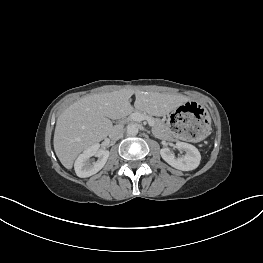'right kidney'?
<instances>
[{
  "mask_svg": "<svg viewBox=\"0 0 263 263\" xmlns=\"http://www.w3.org/2000/svg\"><path fill=\"white\" fill-rule=\"evenodd\" d=\"M97 157V161H91V157ZM109 157V151L99 149L98 144H94L78 156L74 163V169L78 177L86 178L100 171Z\"/></svg>",
  "mask_w": 263,
  "mask_h": 263,
  "instance_id": "ca27d5eb",
  "label": "right kidney"
}]
</instances>
